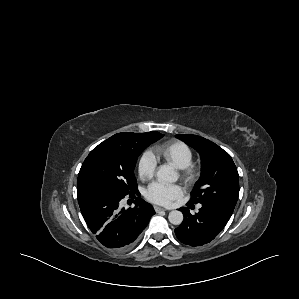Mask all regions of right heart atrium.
Masks as SVG:
<instances>
[{"label": "right heart atrium", "instance_id": "right-heart-atrium-1", "mask_svg": "<svg viewBox=\"0 0 299 299\" xmlns=\"http://www.w3.org/2000/svg\"><path fill=\"white\" fill-rule=\"evenodd\" d=\"M156 168L157 161L153 153L150 151L143 152L137 164V171L140 179L146 181L153 178Z\"/></svg>", "mask_w": 299, "mask_h": 299}]
</instances>
